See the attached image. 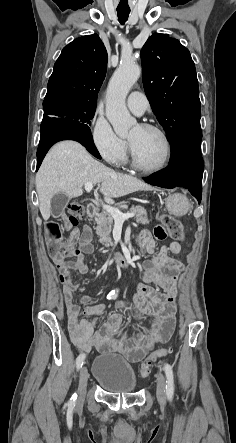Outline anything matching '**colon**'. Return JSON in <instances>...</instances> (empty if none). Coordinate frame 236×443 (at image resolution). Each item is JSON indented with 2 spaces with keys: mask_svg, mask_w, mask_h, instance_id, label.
I'll use <instances>...</instances> for the list:
<instances>
[{
  "mask_svg": "<svg viewBox=\"0 0 236 443\" xmlns=\"http://www.w3.org/2000/svg\"><path fill=\"white\" fill-rule=\"evenodd\" d=\"M67 214L68 225H78L79 218L83 216L82 205L77 202L70 203L67 206ZM159 219L161 221V225L156 227L154 230V235L157 239L162 240L168 236L175 242L184 241V227L179 220L168 214H160ZM63 231L64 227L60 223L54 221H50L47 223L48 250L52 258L56 262L63 261L67 256H76L79 254V249H66L64 245L61 244V241L63 239ZM71 237L75 238L76 234L71 235ZM171 351L172 349L170 347H165L152 351L145 357H141L139 359L142 360L140 374L143 377H146L149 374L152 363L162 357L169 355ZM131 359H138V355H131Z\"/></svg>",
  "mask_w": 236,
  "mask_h": 443,
  "instance_id": "colon-1",
  "label": "colon"
}]
</instances>
